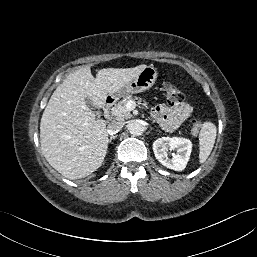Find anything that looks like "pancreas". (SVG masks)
Here are the masks:
<instances>
[{
  "label": "pancreas",
  "mask_w": 257,
  "mask_h": 257,
  "mask_svg": "<svg viewBox=\"0 0 257 257\" xmlns=\"http://www.w3.org/2000/svg\"><path fill=\"white\" fill-rule=\"evenodd\" d=\"M135 100H140V98H132L131 96H126L122 101L118 102L112 109V115L115 116L117 120L123 121L124 119H129L131 117L130 111L126 108L128 102ZM146 105V103H145Z\"/></svg>",
  "instance_id": "pancreas-1"
}]
</instances>
